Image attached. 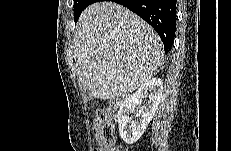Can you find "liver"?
I'll use <instances>...</instances> for the list:
<instances>
[{"label": "liver", "instance_id": "6515ba94", "mask_svg": "<svg viewBox=\"0 0 231 151\" xmlns=\"http://www.w3.org/2000/svg\"><path fill=\"white\" fill-rule=\"evenodd\" d=\"M163 58L158 34L124 6L101 1L82 12L74 59L83 89L95 98L127 96L159 71Z\"/></svg>", "mask_w": 231, "mask_h": 151}]
</instances>
